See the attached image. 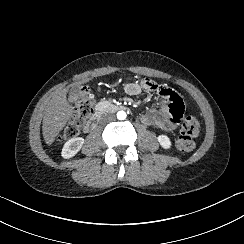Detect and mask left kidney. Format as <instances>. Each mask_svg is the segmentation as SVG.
I'll return each mask as SVG.
<instances>
[{
  "label": "left kidney",
  "mask_w": 244,
  "mask_h": 244,
  "mask_svg": "<svg viewBox=\"0 0 244 244\" xmlns=\"http://www.w3.org/2000/svg\"><path fill=\"white\" fill-rule=\"evenodd\" d=\"M158 142L164 149H169L171 147V141L168 136L160 135L158 136Z\"/></svg>",
  "instance_id": "5707ae66"
}]
</instances>
